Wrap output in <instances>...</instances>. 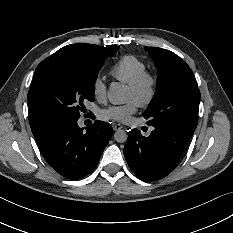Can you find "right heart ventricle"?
Listing matches in <instances>:
<instances>
[{
    "mask_svg": "<svg viewBox=\"0 0 233 233\" xmlns=\"http://www.w3.org/2000/svg\"><path fill=\"white\" fill-rule=\"evenodd\" d=\"M146 70V64L134 55L122 56L112 67L111 75L123 84L133 82Z\"/></svg>",
    "mask_w": 233,
    "mask_h": 233,
    "instance_id": "1",
    "label": "right heart ventricle"
}]
</instances>
